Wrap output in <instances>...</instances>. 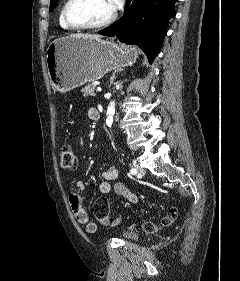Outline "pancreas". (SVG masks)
Returning <instances> with one entry per match:
<instances>
[{
	"label": "pancreas",
	"mask_w": 240,
	"mask_h": 281,
	"mask_svg": "<svg viewBox=\"0 0 240 281\" xmlns=\"http://www.w3.org/2000/svg\"><path fill=\"white\" fill-rule=\"evenodd\" d=\"M95 85L94 84H88L86 85L81 92L83 93V96H95Z\"/></svg>",
	"instance_id": "cf45deb5"
}]
</instances>
